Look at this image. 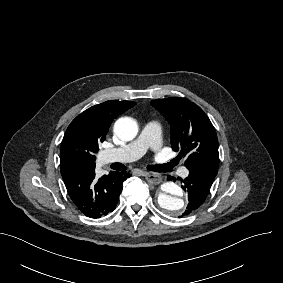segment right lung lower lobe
Masks as SVG:
<instances>
[{"label": "right lung lower lobe", "instance_id": "98d812e1", "mask_svg": "<svg viewBox=\"0 0 283 283\" xmlns=\"http://www.w3.org/2000/svg\"><path fill=\"white\" fill-rule=\"evenodd\" d=\"M130 175L111 171L97 179L95 167L70 171L62 178L74 205L90 218H100L112 212L119 200L123 181Z\"/></svg>", "mask_w": 283, "mask_h": 283}]
</instances>
